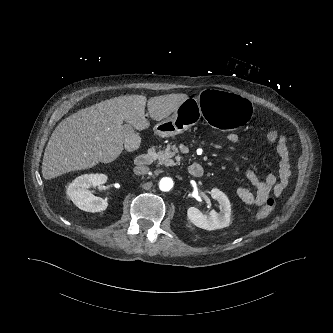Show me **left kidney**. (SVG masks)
I'll list each match as a JSON object with an SVG mask.
<instances>
[{"label": "left kidney", "mask_w": 333, "mask_h": 333, "mask_svg": "<svg viewBox=\"0 0 333 333\" xmlns=\"http://www.w3.org/2000/svg\"><path fill=\"white\" fill-rule=\"evenodd\" d=\"M211 197L219 202L220 213L211 210L209 215L206 216L196 207H190L187 210L188 219L195 226L209 231L229 226L231 222V205L228 197L216 188L211 190Z\"/></svg>", "instance_id": "1"}]
</instances>
